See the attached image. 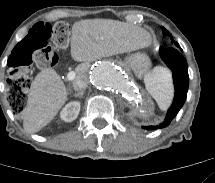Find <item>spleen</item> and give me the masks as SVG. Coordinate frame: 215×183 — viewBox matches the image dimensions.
<instances>
[{
  "mask_svg": "<svg viewBox=\"0 0 215 183\" xmlns=\"http://www.w3.org/2000/svg\"><path fill=\"white\" fill-rule=\"evenodd\" d=\"M149 94L155 99L161 110H166L173 98L171 73L164 67H156L144 77Z\"/></svg>",
  "mask_w": 215,
  "mask_h": 183,
  "instance_id": "3e777b00",
  "label": "spleen"
}]
</instances>
